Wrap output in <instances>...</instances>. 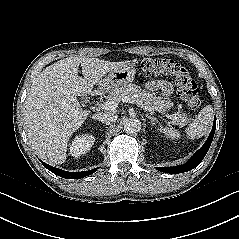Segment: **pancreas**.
Wrapping results in <instances>:
<instances>
[{"mask_svg":"<svg viewBox=\"0 0 239 239\" xmlns=\"http://www.w3.org/2000/svg\"><path fill=\"white\" fill-rule=\"evenodd\" d=\"M126 96L132 98L134 102L139 106H147L157 111H165L166 109L173 106L171 100H161L160 97L149 93L145 89H141L135 84H129L112 89L107 96V99L119 103ZM176 115L177 119L173 121V124L182 127L189 121L185 114L177 113Z\"/></svg>","mask_w":239,"mask_h":239,"instance_id":"pancreas-1","label":"pancreas"}]
</instances>
